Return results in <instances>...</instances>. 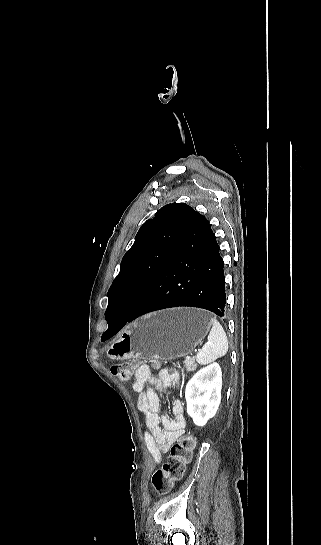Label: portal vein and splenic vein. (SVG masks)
Instances as JSON below:
<instances>
[{
	"instance_id": "obj_1",
	"label": "portal vein and splenic vein",
	"mask_w": 321,
	"mask_h": 545,
	"mask_svg": "<svg viewBox=\"0 0 321 545\" xmlns=\"http://www.w3.org/2000/svg\"><path fill=\"white\" fill-rule=\"evenodd\" d=\"M205 344H210V341H204V340H203V341L199 342L198 345H199V347L202 348V347H204Z\"/></svg>"
}]
</instances>
